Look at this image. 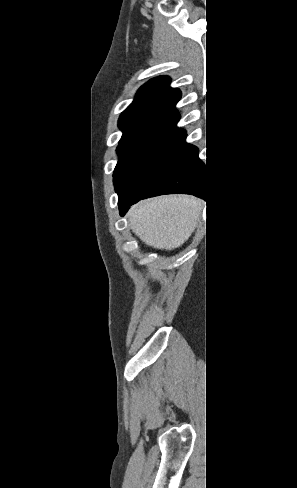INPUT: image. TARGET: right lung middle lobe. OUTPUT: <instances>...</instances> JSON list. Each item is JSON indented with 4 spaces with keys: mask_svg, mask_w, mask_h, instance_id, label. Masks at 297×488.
<instances>
[{
    "mask_svg": "<svg viewBox=\"0 0 297 488\" xmlns=\"http://www.w3.org/2000/svg\"><path fill=\"white\" fill-rule=\"evenodd\" d=\"M175 134L174 132H138L122 136L117 148L120 158L113 175L119 199L128 195L144 171Z\"/></svg>",
    "mask_w": 297,
    "mask_h": 488,
    "instance_id": "right-lung-middle-lobe-1",
    "label": "right lung middle lobe"
}]
</instances>
